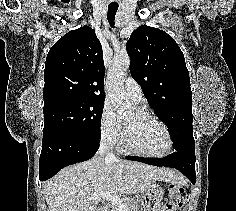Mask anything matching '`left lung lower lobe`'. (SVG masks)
<instances>
[{"label": "left lung lower lobe", "instance_id": "1", "mask_svg": "<svg viewBox=\"0 0 236 211\" xmlns=\"http://www.w3.org/2000/svg\"><path fill=\"white\" fill-rule=\"evenodd\" d=\"M129 160L139 161L155 166L173 167L182 172L193 184H195V152H177L165 158L126 157Z\"/></svg>", "mask_w": 236, "mask_h": 211}]
</instances>
